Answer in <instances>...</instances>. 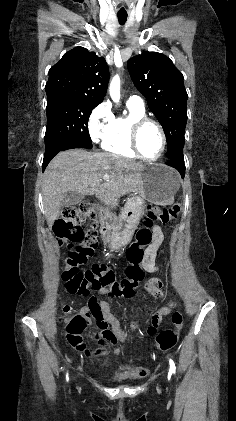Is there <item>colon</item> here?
<instances>
[{"instance_id":"5ec220e1","label":"colon","mask_w":236,"mask_h":421,"mask_svg":"<svg viewBox=\"0 0 236 421\" xmlns=\"http://www.w3.org/2000/svg\"><path fill=\"white\" fill-rule=\"evenodd\" d=\"M181 211L179 204L170 207L149 205L143 227L136 233V240L126 251L129 266L125 277L118 279L113 268L105 264H94L89 269L81 271L92 257L97 247V227L83 228L79 223V213L74 207L64 208L54 224V233L60 244L67 243L70 253L63 272L65 291L71 294L88 296L91 290L104 291L112 298H130L135 293L136 286L143 280L145 272L141 263L145 261V249L153 246L154 237L151 227L154 222L167 223L176 218ZM157 249H154V258ZM153 261V260H152ZM151 264V263H150ZM64 316L61 321L66 326V337L70 345L86 356L99 354L101 350L91 352L82 337V332L89 322V311L81 310L72 313L70 306H63ZM173 329L159 332L155 338L154 347L159 350L171 349L178 341L183 326V315L174 312L171 317ZM151 332L155 329L151 328Z\"/></svg>"}]
</instances>
